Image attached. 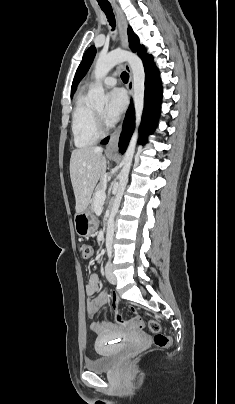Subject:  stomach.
I'll use <instances>...</instances> for the list:
<instances>
[{
	"label": "stomach",
	"instance_id": "stomach-1",
	"mask_svg": "<svg viewBox=\"0 0 235 404\" xmlns=\"http://www.w3.org/2000/svg\"><path fill=\"white\" fill-rule=\"evenodd\" d=\"M74 225L75 231L80 237L89 236L96 230L97 220L93 214L91 207H88L83 212L75 214Z\"/></svg>",
	"mask_w": 235,
	"mask_h": 404
}]
</instances>
